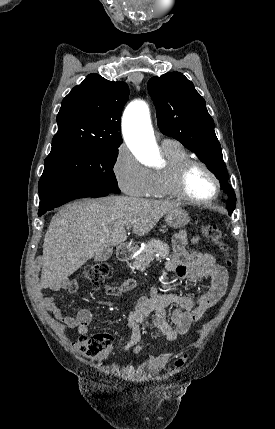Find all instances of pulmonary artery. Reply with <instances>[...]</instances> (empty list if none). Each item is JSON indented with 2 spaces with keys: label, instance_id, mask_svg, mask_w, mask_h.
Masks as SVG:
<instances>
[{
  "label": "pulmonary artery",
  "instance_id": "1",
  "mask_svg": "<svg viewBox=\"0 0 275 429\" xmlns=\"http://www.w3.org/2000/svg\"><path fill=\"white\" fill-rule=\"evenodd\" d=\"M174 143H178L177 141L171 139V138H163L161 140V144L162 145H169V144H174Z\"/></svg>",
  "mask_w": 275,
  "mask_h": 429
}]
</instances>
